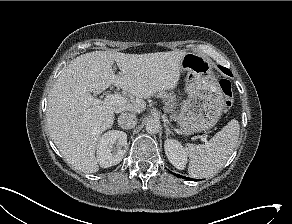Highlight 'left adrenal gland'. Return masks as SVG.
Listing matches in <instances>:
<instances>
[{
  "instance_id": "a2214340",
  "label": "left adrenal gland",
  "mask_w": 292,
  "mask_h": 224,
  "mask_svg": "<svg viewBox=\"0 0 292 224\" xmlns=\"http://www.w3.org/2000/svg\"><path fill=\"white\" fill-rule=\"evenodd\" d=\"M164 127H165V132H166V136L168 137V135L170 134V133H173L172 131H171V129L168 127V125H166V124H164Z\"/></svg>"
}]
</instances>
